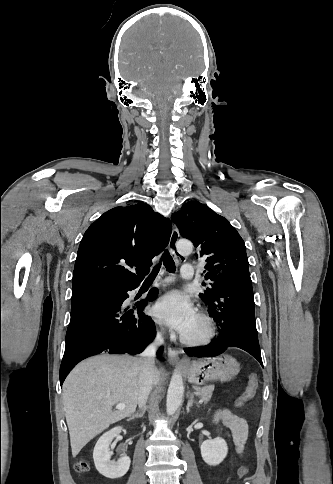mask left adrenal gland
I'll return each instance as SVG.
<instances>
[{
  "label": "left adrenal gland",
  "instance_id": "left-adrenal-gland-1",
  "mask_svg": "<svg viewBox=\"0 0 333 484\" xmlns=\"http://www.w3.org/2000/svg\"><path fill=\"white\" fill-rule=\"evenodd\" d=\"M193 403L197 404V402L193 399V395L190 393L189 400H188V403H187V406H186L187 413H189L190 408L192 407Z\"/></svg>",
  "mask_w": 333,
  "mask_h": 484
}]
</instances>
